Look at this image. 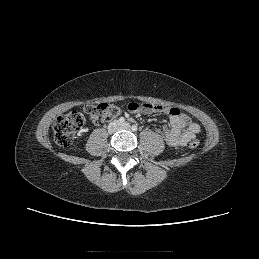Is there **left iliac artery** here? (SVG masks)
Instances as JSON below:
<instances>
[{
  "label": "left iliac artery",
  "instance_id": "44dca946",
  "mask_svg": "<svg viewBox=\"0 0 259 259\" xmlns=\"http://www.w3.org/2000/svg\"><path fill=\"white\" fill-rule=\"evenodd\" d=\"M137 129H138V128H137L136 125H133V126H132V131H137Z\"/></svg>",
  "mask_w": 259,
  "mask_h": 259
}]
</instances>
